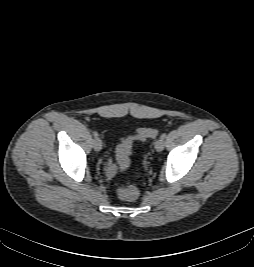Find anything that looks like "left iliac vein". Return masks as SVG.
I'll return each instance as SVG.
<instances>
[{
  "mask_svg": "<svg viewBox=\"0 0 254 267\" xmlns=\"http://www.w3.org/2000/svg\"><path fill=\"white\" fill-rule=\"evenodd\" d=\"M164 145H165V143H164V139H162V138L157 139V140L155 141V144H154L155 149H156L158 152H161V151L164 149Z\"/></svg>",
  "mask_w": 254,
  "mask_h": 267,
  "instance_id": "4c4485c4",
  "label": "left iliac vein"
}]
</instances>
